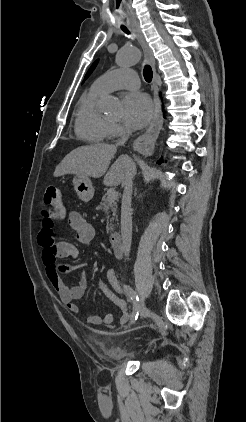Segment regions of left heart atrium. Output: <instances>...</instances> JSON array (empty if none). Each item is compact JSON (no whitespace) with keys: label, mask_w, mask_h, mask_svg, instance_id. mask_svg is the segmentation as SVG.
Listing matches in <instances>:
<instances>
[{"label":"left heart atrium","mask_w":246,"mask_h":422,"mask_svg":"<svg viewBox=\"0 0 246 422\" xmlns=\"http://www.w3.org/2000/svg\"><path fill=\"white\" fill-rule=\"evenodd\" d=\"M124 123L132 129L144 127L151 119L153 105L150 98L141 92H132L123 101Z\"/></svg>","instance_id":"39dd6f15"}]
</instances>
